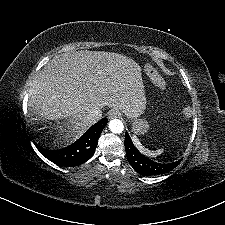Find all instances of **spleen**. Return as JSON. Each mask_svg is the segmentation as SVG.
<instances>
[{
  "label": "spleen",
  "mask_w": 225,
  "mask_h": 225,
  "mask_svg": "<svg viewBox=\"0 0 225 225\" xmlns=\"http://www.w3.org/2000/svg\"><path fill=\"white\" fill-rule=\"evenodd\" d=\"M132 140H133V143L135 144V146L141 151L143 152L145 155H148V156H151V157H154V156H157L159 155L162 150H156V151H149L147 150L146 148H144L141 143L139 142L138 138L134 135L132 136Z\"/></svg>",
  "instance_id": "spleen-1"
}]
</instances>
